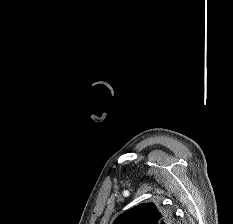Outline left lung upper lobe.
<instances>
[{"label": "left lung upper lobe", "instance_id": "1", "mask_svg": "<svg viewBox=\"0 0 233 224\" xmlns=\"http://www.w3.org/2000/svg\"><path fill=\"white\" fill-rule=\"evenodd\" d=\"M173 215L160 205L143 203L119 215L113 224H173Z\"/></svg>", "mask_w": 233, "mask_h": 224}]
</instances>
